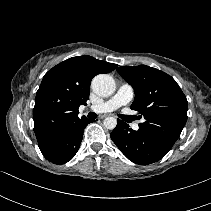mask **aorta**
<instances>
[{"label":"aorta","mask_w":211,"mask_h":211,"mask_svg":"<svg viewBox=\"0 0 211 211\" xmlns=\"http://www.w3.org/2000/svg\"><path fill=\"white\" fill-rule=\"evenodd\" d=\"M92 90L101 97H108L115 91L116 85L114 79L108 74H99L95 76L91 83ZM105 128L113 130L117 125L114 117H107L103 121Z\"/></svg>","instance_id":"obj_1"}]
</instances>
